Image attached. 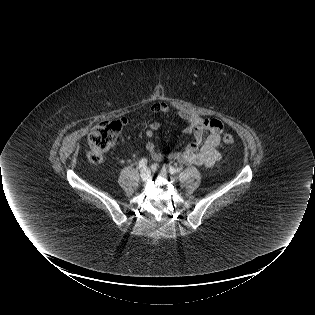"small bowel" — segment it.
<instances>
[{"label": "small bowel", "instance_id": "obj_1", "mask_svg": "<svg viewBox=\"0 0 315 315\" xmlns=\"http://www.w3.org/2000/svg\"><path fill=\"white\" fill-rule=\"evenodd\" d=\"M150 111L155 114H167L170 112V107L164 102H156L151 105ZM178 116L183 122L182 132L192 134L194 141L183 151L168 154L160 152L153 141H148L145 148L149 156L155 161L172 160L204 167L214 166L221 159L219 145L220 134L223 130L222 122L219 119L205 118L187 110L178 111ZM118 121L121 126L128 124V119L125 117ZM160 126L158 121H152L145 131V136L149 139L153 138Z\"/></svg>", "mask_w": 315, "mask_h": 315}]
</instances>
